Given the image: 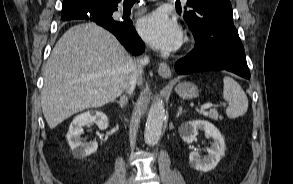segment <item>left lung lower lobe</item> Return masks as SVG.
Instances as JSON below:
<instances>
[{
  "instance_id": "1",
  "label": "left lung lower lobe",
  "mask_w": 293,
  "mask_h": 184,
  "mask_svg": "<svg viewBox=\"0 0 293 184\" xmlns=\"http://www.w3.org/2000/svg\"><path fill=\"white\" fill-rule=\"evenodd\" d=\"M196 47L177 61L178 74L199 71L227 70L246 79L250 78L245 52L233 23L226 22L223 30L196 32Z\"/></svg>"
}]
</instances>
